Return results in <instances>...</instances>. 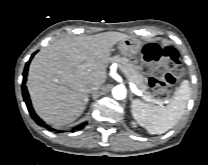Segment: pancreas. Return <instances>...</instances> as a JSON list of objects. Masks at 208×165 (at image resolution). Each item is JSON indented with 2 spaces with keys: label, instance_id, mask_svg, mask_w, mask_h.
<instances>
[{
  "label": "pancreas",
  "instance_id": "obj_1",
  "mask_svg": "<svg viewBox=\"0 0 208 165\" xmlns=\"http://www.w3.org/2000/svg\"><path fill=\"white\" fill-rule=\"evenodd\" d=\"M112 62H117L119 65L120 70L124 73L126 78L129 80L133 81L136 87L147 97L150 99L159 102V99H155L154 96L147 91L148 87L146 84V79L143 77L142 74L139 73L138 69L136 66L128 61L125 58L121 57H113Z\"/></svg>",
  "mask_w": 208,
  "mask_h": 165
}]
</instances>
